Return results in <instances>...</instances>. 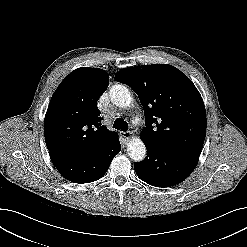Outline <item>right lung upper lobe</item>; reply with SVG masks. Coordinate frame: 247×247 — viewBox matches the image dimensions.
Listing matches in <instances>:
<instances>
[{"mask_svg":"<svg viewBox=\"0 0 247 247\" xmlns=\"http://www.w3.org/2000/svg\"><path fill=\"white\" fill-rule=\"evenodd\" d=\"M109 84L107 73L98 68H78L58 86L49 103L44 135L50 153L86 159L116 137L101 124L99 97Z\"/></svg>","mask_w":247,"mask_h":247,"instance_id":"cb5924a9","label":"right lung upper lobe"}]
</instances>
